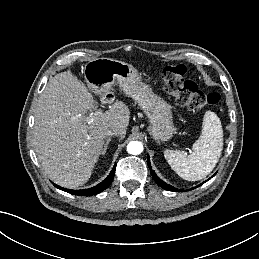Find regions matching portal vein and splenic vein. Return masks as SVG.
I'll list each match as a JSON object with an SVG mask.
<instances>
[{"mask_svg":"<svg viewBox=\"0 0 259 259\" xmlns=\"http://www.w3.org/2000/svg\"><path fill=\"white\" fill-rule=\"evenodd\" d=\"M96 114H100V112H99V111H97V112H96ZM85 120H86L87 122L92 121V120H93V113L89 114V116H88V117H86V118H85Z\"/></svg>","mask_w":259,"mask_h":259,"instance_id":"obj_1","label":"portal vein and splenic vein"}]
</instances>
